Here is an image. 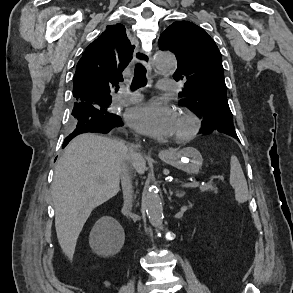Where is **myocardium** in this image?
Wrapping results in <instances>:
<instances>
[{"mask_svg": "<svg viewBox=\"0 0 293 293\" xmlns=\"http://www.w3.org/2000/svg\"><path fill=\"white\" fill-rule=\"evenodd\" d=\"M177 119L187 124V129L183 132L176 133L174 139L177 142H186L194 138L200 129V121L193 113L181 111L177 113Z\"/></svg>", "mask_w": 293, "mask_h": 293, "instance_id": "1", "label": "myocardium"}]
</instances>
